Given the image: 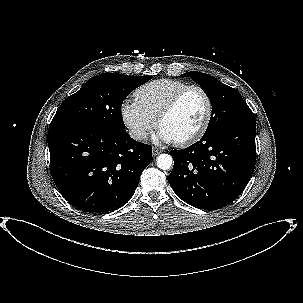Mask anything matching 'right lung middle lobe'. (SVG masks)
<instances>
[{"instance_id": "dd1d6c3e", "label": "right lung middle lobe", "mask_w": 303, "mask_h": 303, "mask_svg": "<svg viewBox=\"0 0 303 303\" xmlns=\"http://www.w3.org/2000/svg\"><path fill=\"white\" fill-rule=\"evenodd\" d=\"M152 76L102 73L87 81L59 107L49 128L92 126L113 131L125 130L121 106L128 94Z\"/></svg>"}]
</instances>
